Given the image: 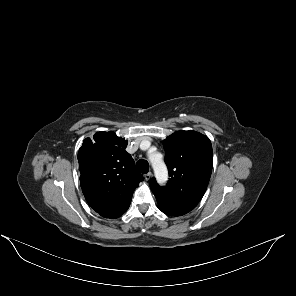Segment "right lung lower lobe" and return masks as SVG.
Here are the masks:
<instances>
[{
	"label": "right lung lower lobe",
	"mask_w": 296,
	"mask_h": 296,
	"mask_svg": "<svg viewBox=\"0 0 296 296\" xmlns=\"http://www.w3.org/2000/svg\"><path fill=\"white\" fill-rule=\"evenodd\" d=\"M129 205L130 204L115 207H103L95 209V211L105 218L115 219L120 217L128 209Z\"/></svg>",
	"instance_id": "obj_1"
}]
</instances>
